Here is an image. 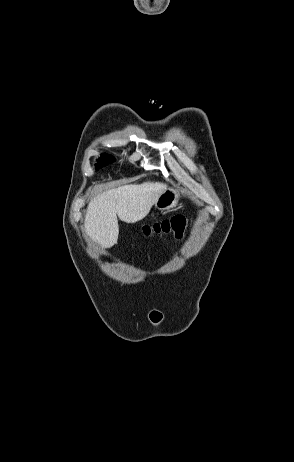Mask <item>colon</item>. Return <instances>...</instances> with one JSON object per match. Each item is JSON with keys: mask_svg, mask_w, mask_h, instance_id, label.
Here are the masks:
<instances>
[{"mask_svg": "<svg viewBox=\"0 0 294 462\" xmlns=\"http://www.w3.org/2000/svg\"><path fill=\"white\" fill-rule=\"evenodd\" d=\"M187 226L188 223L184 216H174L151 225H146L143 227L142 232L145 235L156 234L181 239L184 236Z\"/></svg>", "mask_w": 294, "mask_h": 462, "instance_id": "colon-1", "label": "colon"}]
</instances>
